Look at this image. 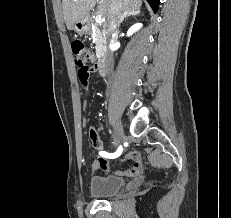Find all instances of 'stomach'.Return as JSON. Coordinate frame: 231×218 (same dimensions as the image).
Segmentation results:
<instances>
[{"label":"stomach","mask_w":231,"mask_h":218,"mask_svg":"<svg viewBox=\"0 0 231 218\" xmlns=\"http://www.w3.org/2000/svg\"><path fill=\"white\" fill-rule=\"evenodd\" d=\"M73 30L78 34H85L88 31L87 20L83 19L73 25Z\"/></svg>","instance_id":"1"}]
</instances>
